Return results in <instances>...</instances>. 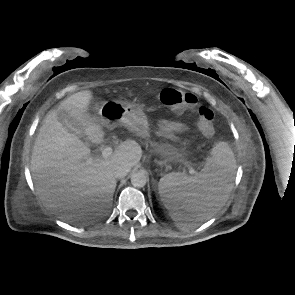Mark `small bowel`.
Returning <instances> with one entry per match:
<instances>
[{"label": "small bowel", "instance_id": "obj_1", "mask_svg": "<svg viewBox=\"0 0 295 295\" xmlns=\"http://www.w3.org/2000/svg\"><path fill=\"white\" fill-rule=\"evenodd\" d=\"M161 128L164 131V133L168 135H172L177 132H181L185 130L184 124L180 122H174V121H164L161 123Z\"/></svg>", "mask_w": 295, "mask_h": 295}]
</instances>
